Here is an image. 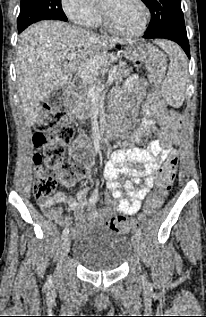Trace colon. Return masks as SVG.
Listing matches in <instances>:
<instances>
[{
  "mask_svg": "<svg viewBox=\"0 0 206 317\" xmlns=\"http://www.w3.org/2000/svg\"><path fill=\"white\" fill-rule=\"evenodd\" d=\"M147 67L150 81L159 88L166 69L164 54L159 51L153 53L147 62ZM162 125L167 129L177 130L181 126L180 115L173 110L166 111ZM73 137L74 128L65 112L51 105H43L33 137L35 147L41 151L34 155L36 179L33 194L37 200L50 198L57 187V180L50 171L55 172L61 181H74L87 174L90 153L86 140H79L75 153L71 157L66 156V149ZM177 166L178 157L174 153L159 170L155 180L156 190L148 198L140 220L153 215L162 206L165 196L172 187ZM137 224L138 221L120 215L107 220L108 227L116 232H129Z\"/></svg>",
  "mask_w": 206,
  "mask_h": 317,
  "instance_id": "5ec220e1",
  "label": "colon"
}]
</instances>
